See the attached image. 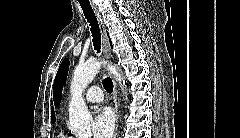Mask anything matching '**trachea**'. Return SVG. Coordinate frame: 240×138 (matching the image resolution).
<instances>
[{
	"label": "trachea",
	"instance_id": "3493384b",
	"mask_svg": "<svg viewBox=\"0 0 240 138\" xmlns=\"http://www.w3.org/2000/svg\"><path fill=\"white\" fill-rule=\"evenodd\" d=\"M81 8L83 10V13L85 15V18L87 19V22L90 25V31L92 34V41H93V46L95 48V50L97 51V53L100 52L101 49V33H100V29H99V24L97 21V18L95 16V13L91 7V5L89 4H81ZM103 86L104 89L111 94L113 91V83L110 77H106L103 80Z\"/></svg>",
	"mask_w": 240,
	"mask_h": 138
}]
</instances>
